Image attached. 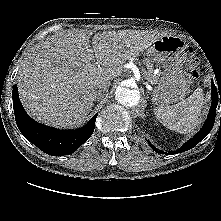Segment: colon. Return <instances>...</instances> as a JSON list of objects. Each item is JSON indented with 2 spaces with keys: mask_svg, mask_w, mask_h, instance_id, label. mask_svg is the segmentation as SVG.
I'll return each mask as SVG.
<instances>
[{
  "mask_svg": "<svg viewBox=\"0 0 221 221\" xmlns=\"http://www.w3.org/2000/svg\"><path fill=\"white\" fill-rule=\"evenodd\" d=\"M199 60L192 54L190 51V54L186 60V67H185V74L189 81H195L199 77Z\"/></svg>",
  "mask_w": 221,
  "mask_h": 221,
  "instance_id": "5ec220e1",
  "label": "colon"
}]
</instances>
